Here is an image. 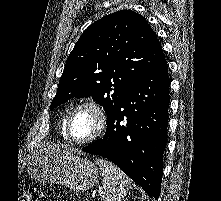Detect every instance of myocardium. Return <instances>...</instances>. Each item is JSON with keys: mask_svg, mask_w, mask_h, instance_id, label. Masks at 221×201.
<instances>
[{"mask_svg": "<svg viewBox=\"0 0 221 201\" xmlns=\"http://www.w3.org/2000/svg\"><path fill=\"white\" fill-rule=\"evenodd\" d=\"M81 109H88L94 113L97 119V128L90 137L86 139H75L71 134V121L74 114ZM106 124H107V116L103 107L97 101L92 99H87L73 106L71 110L68 112L65 121V132L69 141L75 144L83 145L97 140L104 133L106 129Z\"/></svg>", "mask_w": 221, "mask_h": 201, "instance_id": "f54148a6", "label": "myocardium"}]
</instances>
